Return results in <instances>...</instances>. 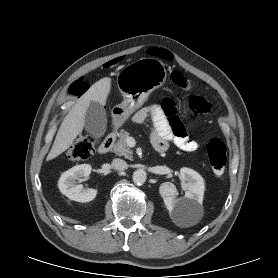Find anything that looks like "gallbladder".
Masks as SVG:
<instances>
[{
	"label": "gallbladder",
	"instance_id": "bac80fb5",
	"mask_svg": "<svg viewBox=\"0 0 278 278\" xmlns=\"http://www.w3.org/2000/svg\"><path fill=\"white\" fill-rule=\"evenodd\" d=\"M86 132L94 139L101 138L107 129V115L105 108L96 102H91L84 120Z\"/></svg>",
	"mask_w": 278,
	"mask_h": 278
}]
</instances>
